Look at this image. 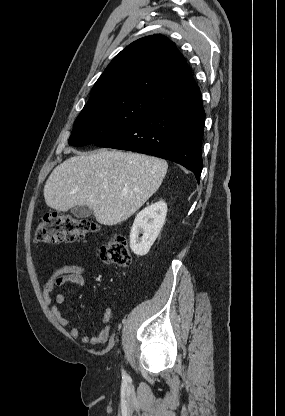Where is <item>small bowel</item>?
I'll list each match as a JSON object with an SVG mask.
<instances>
[{"label": "small bowel", "mask_w": 285, "mask_h": 416, "mask_svg": "<svg viewBox=\"0 0 285 416\" xmlns=\"http://www.w3.org/2000/svg\"><path fill=\"white\" fill-rule=\"evenodd\" d=\"M86 268L76 264H66L54 270L48 277L43 286V297L45 303L50 307V312L58 324L68 329L70 337L76 339L80 338L83 343H89L94 346L104 344L110 334V329L113 322V315L110 308L104 311L102 317V329L94 335H81L77 327L71 325L70 321L61 313L59 306L66 303L68 297L64 293H59L55 297V304H52V294L56 288L61 287L66 283L73 284L77 287L85 285Z\"/></svg>", "instance_id": "c3829d8e"}]
</instances>
